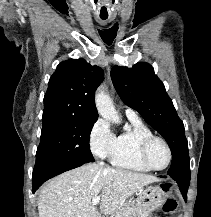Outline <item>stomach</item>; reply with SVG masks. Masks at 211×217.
I'll use <instances>...</instances> for the list:
<instances>
[{"mask_svg":"<svg viewBox=\"0 0 211 217\" xmlns=\"http://www.w3.org/2000/svg\"><path fill=\"white\" fill-rule=\"evenodd\" d=\"M164 201L165 194L159 185L141 189L135 202V217H149Z\"/></svg>","mask_w":211,"mask_h":217,"instance_id":"obj_1","label":"stomach"}]
</instances>
